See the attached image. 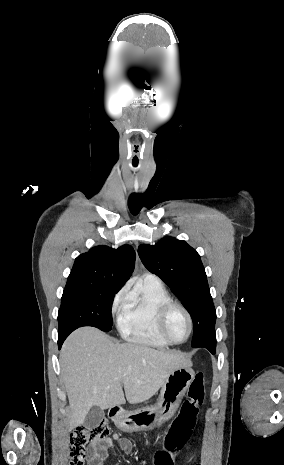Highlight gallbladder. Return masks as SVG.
Instances as JSON below:
<instances>
[{
    "instance_id": "1",
    "label": "gallbladder",
    "mask_w": 284,
    "mask_h": 465,
    "mask_svg": "<svg viewBox=\"0 0 284 465\" xmlns=\"http://www.w3.org/2000/svg\"><path fill=\"white\" fill-rule=\"evenodd\" d=\"M104 411L99 409V407H91L85 421L84 427H88V429H94V427H99L102 419H104Z\"/></svg>"
}]
</instances>
